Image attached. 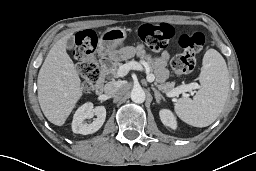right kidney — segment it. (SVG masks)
Segmentation results:
<instances>
[{
  "label": "right kidney",
  "mask_w": 256,
  "mask_h": 171,
  "mask_svg": "<svg viewBox=\"0 0 256 171\" xmlns=\"http://www.w3.org/2000/svg\"><path fill=\"white\" fill-rule=\"evenodd\" d=\"M96 116L91 124L85 123V119ZM106 118V109L104 106L94 107L91 102L83 104L77 109L72 121V131L82 135L92 134L98 131Z\"/></svg>",
  "instance_id": "obj_1"
}]
</instances>
